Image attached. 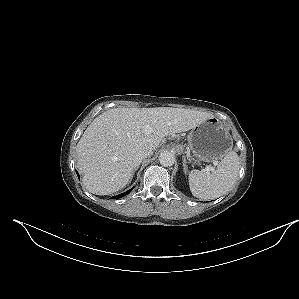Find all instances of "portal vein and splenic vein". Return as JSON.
Returning <instances> with one entry per match:
<instances>
[{
	"label": "portal vein and splenic vein",
	"instance_id": "portal-vein-and-splenic-vein-1",
	"mask_svg": "<svg viewBox=\"0 0 299 299\" xmlns=\"http://www.w3.org/2000/svg\"><path fill=\"white\" fill-rule=\"evenodd\" d=\"M143 131H144V133H146V134H150V133L153 132L152 128H151L149 125H145V126L143 127ZM207 170L209 171V170H211V169H210V168H207Z\"/></svg>",
	"mask_w": 299,
	"mask_h": 299
}]
</instances>
